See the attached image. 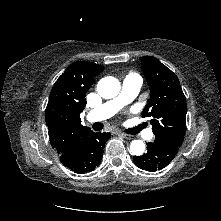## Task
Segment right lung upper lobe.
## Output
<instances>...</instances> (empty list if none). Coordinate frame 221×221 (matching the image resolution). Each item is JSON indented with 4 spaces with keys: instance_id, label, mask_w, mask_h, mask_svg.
<instances>
[{
    "instance_id": "obj_1",
    "label": "right lung upper lobe",
    "mask_w": 221,
    "mask_h": 221,
    "mask_svg": "<svg viewBox=\"0 0 221 221\" xmlns=\"http://www.w3.org/2000/svg\"><path fill=\"white\" fill-rule=\"evenodd\" d=\"M104 67L92 62L78 61L66 68L55 82L45 111L50 143L59 155L77 151L91 132L81 125L80 113L86 105V92L94 77Z\"/></svg>"
}]
</instances>
